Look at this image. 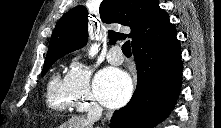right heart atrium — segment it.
<instances>
[{
	"label": "right heart atrium",
	"mask_w": 221,
	"mask_h": 128,
	"mask_svg": "<svg viewBox=\"0 0 221 128\" xmlns=\"http://www.w3.org/2000/svg\"><path fill=\"white\" fill-rule=\"evenodd\" d=\"M91 68L80 58H74L66 75L68 87L74 98V109L82 111L85 106L96 108L91 88Z\"/></svg>",
	"instance_id": "1"
}]
</instances>
